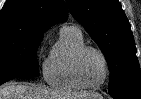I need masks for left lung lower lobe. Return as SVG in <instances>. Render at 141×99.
Listing matches in <instances>:
<instances>
[{"label": "left lung lower lobe", "instance_id": "0a47b994", "mask_svg": "<svg viewBox=\"0 0 141 99\" xmlns=\"http://www.w3.org/2000/svg\"><path fill=\"white\" fill-rule=\"evenodd\" d=\"M109 94L115 99H141V91H110Z\"/></svg>", "mask_w": 141, "mask_h": 99}]
</instances>
